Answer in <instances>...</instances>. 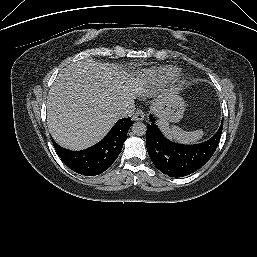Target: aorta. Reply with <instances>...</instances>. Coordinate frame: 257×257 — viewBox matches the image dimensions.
Wrapping results in <instances>:
<instances>
[{
  "label": "aorta",
  "instance_id": "762f6f07",
  "mask_svg": "<svg viewBox=\"0 0 257 257\" xmlns=\"http://www.w3.org/2000/svg\"><path fill=\"white\" fill-rule=\"evenodd\" d=\"M146 125L142 122L134 123L132 126V132L137 136H143L146 134Z\"/></svg>",
  "mask_w": 257,
  "mask_h": 257
}]
</instances>
